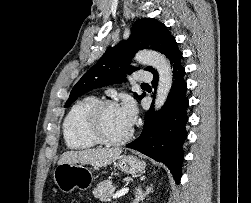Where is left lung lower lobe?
<instances>
[{
	"label": "left lung lower lobe",
	"mask_w": 251,
	"mask_h": 203,
	"mask_svg": "<svg viewBox=\"0 0 251 203\" xmlns=\"http://www.w3.org/2000/svg\"><path fill=\"white\" fill-rule=\"evenodd\" d=\"M166 56L173 68V85L169 96L158 112H154L151 108L145 114L141 135L127 144V147L164 163L178 184L184 158L183 144L187 139L189 101L186 97L185 68L181 65L182 52L178 49L175 40L170 44ZM151 73L154 75L152 84L156 88L158 74L155 70Z\"/></svg>",
	"instance_id": "1"
}]
</instances>
